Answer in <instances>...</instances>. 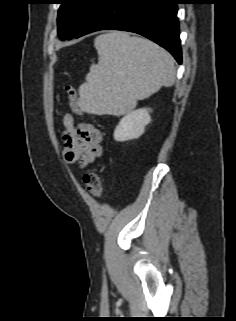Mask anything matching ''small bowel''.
<instances>
[{"instance_id":"c3829d8e","label":"small bowel","mask_w":236,"mask_h":321,"mask_svg":"<svg viewBox=\"0 0 236 321\" xmlns=\"http://www.w3.org/2000/svg\"><path fill=\"white\" fill-rule=\"evenodd\" d=\"M62 125L66 162L88 164L102 156L103 138L97 128L86 122L77 123L71 114L63 116Z\"/></svg>"}]
</instances>
